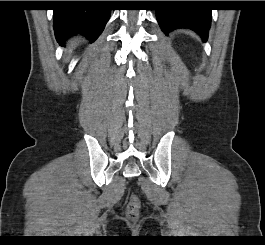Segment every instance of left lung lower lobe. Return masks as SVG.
<instances>
[{
    "label": "left lung lower lobe",
    "instance_id": "left-lung-lower-lobe-1",
    "mask_svg": "<svg viewBox=\"0 0 265 245\" xmlns=\"http://www.w3.org/2000/svg\"><path fill=\"white\" fill-rule=\"evenodd\" d=\"M197 5L198 1H177L173 7L157 10V21L163 32L168 35L177 28H189L207 41L211 25V10L199 8H178L180 5Z\"/></svg>",
    "mask_w": 265,
    "mask_h": 245
}]
</instances>
